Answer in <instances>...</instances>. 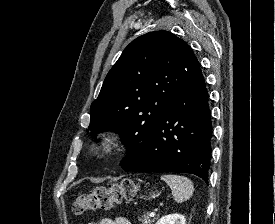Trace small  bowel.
I'll return each mask as SVG.
<instances>
[{
  "mask_svg": "<svg viewBox=\"0 0 275 224\" xmlns=\"http://www.w3.org/2000/svg\"><path fill=\"white\" fill-rule=\"evenodd\" d=\"M89 224H131V223L124 217L104 216L99 218L97 221L91 222Z\"/></svg>",
  "mask_w": 275,
  "mask_h": 224,
  "instance_id": "c3829d8e",
  "label": "small bowel"
}]
</instances>
